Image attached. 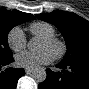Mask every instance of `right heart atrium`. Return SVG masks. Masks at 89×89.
<instances>
[{
    "mask_svg": "<svg viewBox=\"0 0 89 89\" xmlns=\"http://www.w3.org/2000/svg\"><path fill=\"white\" fill-rule=\"evenodd\" d=\"M9 47L14 52H20L26 47V37L19 27L12 28L7 35Z\"/></svg>",
    "mask_w": 89,
    "mask_h": 89,
    "instance_id": "right-heart-atrium-1",
    "label": "right heart atrium"
}]
</instances>
